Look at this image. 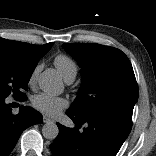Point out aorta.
<instances>
[{"instance_id":"1","label":"aorta","mask_w":156,"mask_h":156,"mask_svg":"<svg viewBox=\"0 0 156 156\" xmlns=\"http://www.w3.org/2000/svg\"><path fill=\"white\" fill-rule=\"evenodd\" d=\"M39 87L46 93H59L62 91L63 83L51 71H44L40 74L38 80ZM59 133V129L53 121H49L42 127V135L48 140H54Z\"/></svg>"}]
</instances>
